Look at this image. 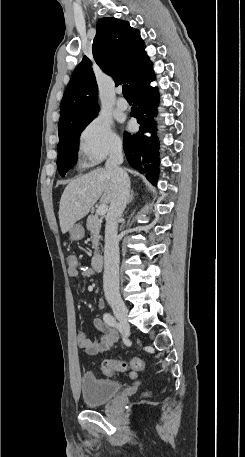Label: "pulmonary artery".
Returning a JSON list of instances; mask_svg holds the SVG:
<instances>
[{
    "label": "pulmonary artery",
    "instance_id": "obj_1",
    "mask_svg": "<svg viewBox=\"0 0 245 457\" xmlns=\"http://www.w3.org/2000/svg\"><path fill=\"white\" fill-rule=\"evenodd\" d=\"M117 93L118 94L122 93L121 88L117 89ZM116 107L119 110H126L128 108V103L124 98H118L117 101H116Z\"/></svg>",
    "mask_w": 245,
    "mask_h": 457
}]
</instances>
